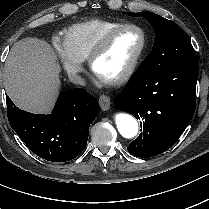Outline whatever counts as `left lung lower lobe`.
Listing matches in <instances>:
<instances>
[{"instance_id":"0a47b994","label":"left lung lower lobe","mask_w":209,"mask_h":209,"mask_svg":"<svg viewBox=\"0 0 209 209\" xmlns=\"http://www.w3.org/2000/svg\"><path fill=\"white\" fill-rule=\"evenodd\" d=\"M197 58L164 72L137 69L115 97V107L141 120V134L127 150L153 157L169 149L191 121L196 107Z\"/></svg>"}]
</instances>
